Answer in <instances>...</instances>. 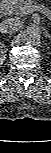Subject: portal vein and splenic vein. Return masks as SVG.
<instances>
[{
  "label": "portal vein and splenic vein",
  "mask_w": 51,
  "mask_h": 153,
  "mask_svg": "<svg viewBox=\"0 0 51 153\" xmlns=\"http://www.w3.org/2000/svg\"><path fill=\"white\" fill-rule=\"evenodd\" d=\"M37 10H40V6H37V5H32V6H28L26 8V14H29V13H32L34 11H37Z\"/></svg>",
  "instance_id": "18ae733b"
}]
</instances>
